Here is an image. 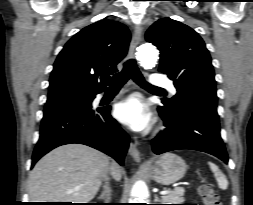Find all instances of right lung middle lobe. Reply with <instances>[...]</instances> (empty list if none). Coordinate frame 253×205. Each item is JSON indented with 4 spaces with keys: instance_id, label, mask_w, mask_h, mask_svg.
Returning a JSON list of instances; mask_svg holds the SVG:
<instances>
[{
    "instance_id": "obj_1",
    "label": "right lung middle lobe",
    "mask_w": 253,
    "mask_h": 205,
    "mask_svg": "<svg viewBox=\"0 0 253 205\" xmlns=\"http://www.w3.org/2000/svg\"><path fill=\"white\" fill-rule=\"evenodd\" d=\"M92 100H93V96L60 99V100L47 102L45 105V109L53 108V107H62V106H90Z\"/></svg>"
}]
</instances>
